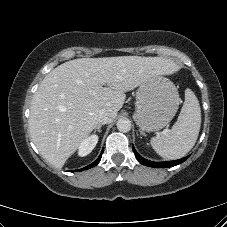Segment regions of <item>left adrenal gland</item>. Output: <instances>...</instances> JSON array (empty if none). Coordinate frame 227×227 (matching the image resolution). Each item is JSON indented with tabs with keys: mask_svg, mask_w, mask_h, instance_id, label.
<instances>
[{
	"mask_svg": "<svg viewBox=\"0 0 227 227\" xmlns=\"http://www.w3.org/2000/svg\"><path fill=\"white\" fill-rule=\"evenodd\" d=\"M140 134H143V132H142V131H140Z\"/></svg>",
	"mask_w": 227,
	"mask_h": 227,
	"instance_id": "a2214340",
	"label": "left adrenal gland"
}]
</instances>
